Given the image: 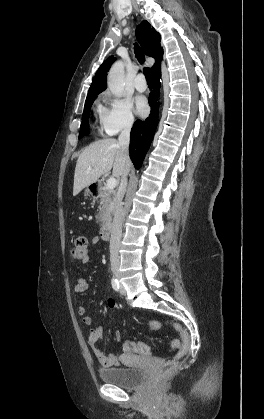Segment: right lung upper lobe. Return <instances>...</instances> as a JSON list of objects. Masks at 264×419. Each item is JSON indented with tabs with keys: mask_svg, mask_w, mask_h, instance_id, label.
Masks as SVG:
<instances>
[{
	"mask_svg": "<svg viewBox=\"0 0 264 419\" xmlns=\"http://www.w3.org/2000/svg\"><path fill=\"white\" fill-rule=\"evenodd\" d=\"M136 34L139 42L141 43L146 55L156 59V63L152 67V72L157 73L160 71V61L163 59V49L160 45V35L153 27L147 22L143 21L136 29ZM116 59L111 56L99 67L98 71L93 78L86 100L97 96L107 87L106 77L107 71Z\"/></svg>",
	"mask_w": 264,
	"mask_h": 419,
	"instance_id": "right-lung-upper-lobe-1",
	"label": "right lung upper lobe"
}]
</instances>
